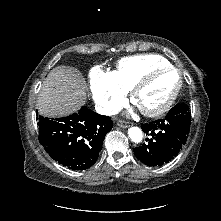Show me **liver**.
Returning <instances> with one entry per match:
<instances>
[{
    "label": "liver",
    "instance_id": "1",
    "mask_svg": "<svg viewBox=\"0 0 221 221\" xmlns=\"http://www.w3.org/2000/svg\"><path fill=\"white\" fill-rule=\"evenodd\" d=\"M86 101V85L80 74L70 68H54L44 81L37 98L38 112L61 117L80 109Z\"/></svg>",
    "mask_w": 221,
    "mask_h": 221
}]
</instances>
